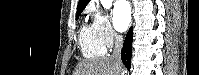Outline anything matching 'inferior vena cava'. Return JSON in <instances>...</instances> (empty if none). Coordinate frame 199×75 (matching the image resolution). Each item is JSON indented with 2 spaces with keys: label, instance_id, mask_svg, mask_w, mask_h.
Listing matches in <instances>:
<instances>
[{
  "label": "inferior vena cava",
  "instance_id": "602c4592",
  "mask_svg": "<svg viewBox=\"0 0 199 75\" xmlns=\"http://www.w3.org/2000/svg\"><path fill=\"white\" fill-rule=\"evenodd\" d=\"M114 36H115V46H114V50L112 52L111 57L116 62L121 64V50H122V46H123V37L117 33H115Z\"/></svg>",
  "mask_w": 199,
  "mask_h": 75
}]
</instances>
